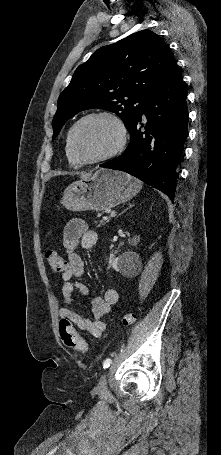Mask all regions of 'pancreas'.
<instances>
[{
  "mask_svg": "<svg viewBox=\"0 0 221 455\" xmlns=\"http://www.w3.org/2000/svg\"><path fill=\"white\" fill-rule=\"evenodd\" d=\"M95 223H96V224L98 223V226L106 225V222L103 221V220H100L99 222H98V221H95Z\"/></svg>",
  "mask_w": 221,
  "mask_h": 455,
  "instance_id": "cf45deb5",
  "label": "pancreas"
}]
</instances>
